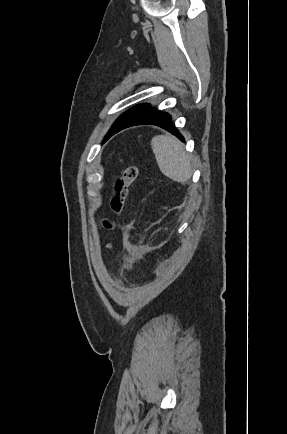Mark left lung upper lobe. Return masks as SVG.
I'll use <instances>...</instances> for the list:
<instances>
[{
	"label": "left lung upper lobe",
	"mask_w": 287,
	"mask_h": 434,
	"mask_svg": "<svg viewBox=\"0 0 287 434\" xmlns=\"http://www.w3.org/2000/svg\"><path fill=\"white\" fill-rule=\"evenodd\" d=\"M150 106L149 104H140V105H136L134 107H132L131 109H129L128 111L124 112L116 121L115 123L112 125L111 129L109 130V132L107 133L105 140L109 139L114 132L127 120L129 119L131 116L135 115L136 113L140 112L141 110H143L144 108Z\"/></svg>",
	"instance_id": "1"
}]
</instances>
